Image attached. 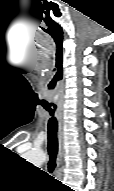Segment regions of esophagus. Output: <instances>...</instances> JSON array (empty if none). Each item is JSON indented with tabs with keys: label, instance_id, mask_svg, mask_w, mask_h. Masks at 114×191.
<instances>
[{
	"label": "esophagus",
	"instance_id": "34e87169",
	"mask_svg": "<svg viewBox=\"0 0 114 191\" xmlns=\"http://www.w3.org/2000/svg\"><path fill=\"white\" fill-rule=\"evenodd\" d=\"M63 139H64V132H63V118L62 113H58V140H59V156H58V165L61 164L62 155H63Z\"/></svg>",
	"mask_w": 114,
	"mask_h": 191
}]
</instances>
